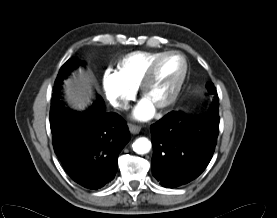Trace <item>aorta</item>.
Here are the masks:
<instances>
[{
  "label": "aorta",
  "instance_id": "obj_1",
  "mask_svg": "<svg viewBox=\"0 0 277 218\" xmlns=\"http://www.w3.org/2000/svg\"><path fill=\"white\" fill-rule=\"evenodd\" d=\"M132 148L139 155L147 154L151 150V142L146 137H140L134 141Z\"/></svg>",
  "mask_w": 277,
  "mask_h": 218
}]
</instances>
